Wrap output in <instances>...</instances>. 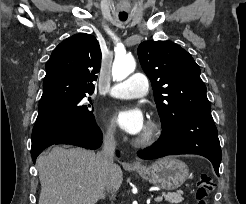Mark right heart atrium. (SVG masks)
<instances>
[{"instance_id": "1", "label": "right heart atrium", "mask_w": 246, "mask_h": 204, "mask_svg": "<svg viewBox=\"0 0 246 204\" xmlns=\"http://www.w3.org/2000/svg\"><path fill=\"white\" fill-rule=\"evenodd\" d=\"M116 134V128L112 122H105L103 126V135L106 139H113Z\"/></svg>"}]
</instances>
